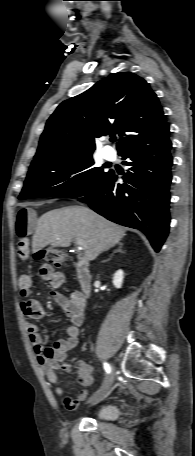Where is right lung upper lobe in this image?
Listing matches in <instances>:
<instances>
[{
    "label": "right lung upper lobe",
    "instance_id": "1",
    "mask_svg": "<svg viewBox=\"0 0 195 456\" xmlns=\"http://www.w3.org/2000/svg\"><path fill=\"white\" fill-rule=\"evenodd\" d=\"M117 133L125 147L169 136L156 94L141 77L116 73L84 93L62 102L48 119L31 166L74 156L91 155L95 138Z\"/></svg>",
    "mask_w": 195,
    "mask_h": 456
}]
</instances>
